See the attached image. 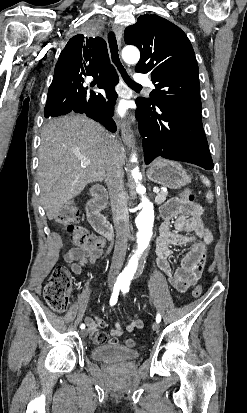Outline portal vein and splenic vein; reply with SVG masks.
<instances>
[{
	"mask_svg": "<svg viewBox=\"0 0 247 413\" xmlns=\"http://www.w3.org/2000/svg\"><path fill=\"white\" fill-rule=\"evenodd\" d=\"M82 162H84V164H90L91 160H86V158H84V160H82ZM153 192H159V188H153Z\"/></svg>",
	"mask_w": 247,
	"mask_h": 413,
	"instance_id": "18ae733b",
	"label": "portal vein and splenic vein"
}]
</instances>
